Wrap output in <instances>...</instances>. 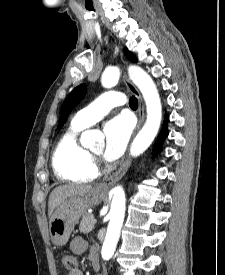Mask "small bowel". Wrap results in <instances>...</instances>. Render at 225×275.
<instances>
[{"instance_id": "1", "label": "small bowel", "mask_w": 225, "mask_h": 275, "mask_svg": "<svg viewBox=\"0 0 225 275\" xmlns=\"http://www.w3.org/2000/svg\"><path fill=\"white\" fill-rule=\"evenodd\" d=\"M87 244L86 242L81 239V238H75L73 239V241L71 242V250L75 253V254H82L87 250ZM91 256L92 255H97V252L95 249H91L90 252ZM66 275H83L82 271L79 269H76L74 271L69 272Z\"/></svg>"}]
</instances>
